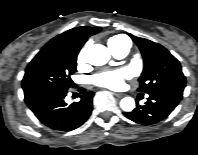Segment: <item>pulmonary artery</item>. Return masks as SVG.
Returning a JSON list of instances; mask_svg holds the SVG:
<instances>
[{
  "mask_svg": "<svg viewBox=\"0 0 198 155\" xmlns=\"http://www.w3.org/2000/svg\"><path fill=\"white\" fill-rule=\"evenodd\" d=\"M108 45L112 54L117 58L125 57L128 54L129 49H130V42L124 37Z\"/></svg>",
  "mask_w": 198,
  "mask_h": 155,
  "instance_id": "obj_1",
  "label": "pulmonary artery"
}]
</instances>
